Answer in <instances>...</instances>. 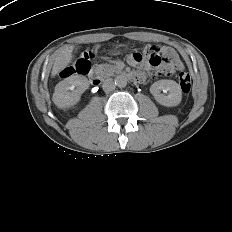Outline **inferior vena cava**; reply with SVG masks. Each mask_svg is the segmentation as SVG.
<instances>
[{"mask_svg":"<svg viewBox=\"0 0 232 232\" xmlns=\"http://www.w3.org/2000/svg\"><path fill=\"white\" fill-rule=\"evenodd\" d=\"M102 88L105 92H111L115 90V83L113 79L108 78L103 82Z\"/></svg>","mask_w":232,"mask_h":232,"instance_id":"inferior-vena-cava-1","label":"inferior vena cava"}]
</instances>
